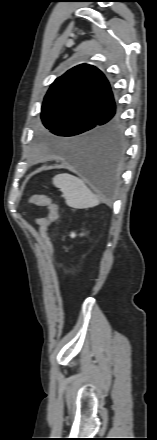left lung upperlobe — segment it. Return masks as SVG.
Segmentation results:
<instances>
[{"label":"left lung upper lobe","instance_id":"1","mask_svg":"<svg viewBox=\"0 0 157 440\" xmlns=\"http://www.w3.org/2000/svg\"><path fill=\"white\" fill-rule=\"evenodd\" d=\"M113 94L104 74L88 64L57 78L42 105L44 126L62 139L89 138L115 115Z\"/></svg>","mask_w":157,"mask_h":440}]
</instances>
